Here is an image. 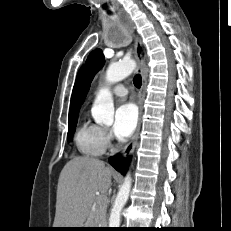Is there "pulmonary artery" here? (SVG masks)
Here are the masks:
<instances>
[{
	"instance_id": "obj_1",
	"label": "pulmonary artery",
	"mask_w": 231,
	"mask_h": 231,
	"mask_svg": "<svg viewBox=\"0 0 231 231\" xmlns=\"http://www.w3.org/2000/svg\"><path fill=\"white\" fill-rule=\"evenodd\" d=\"M112 92L116 96H126L128 94V89L125 87L124 84L118 83L112 88Z\"/></svg>"
}]
</instances>
